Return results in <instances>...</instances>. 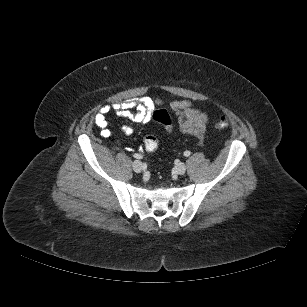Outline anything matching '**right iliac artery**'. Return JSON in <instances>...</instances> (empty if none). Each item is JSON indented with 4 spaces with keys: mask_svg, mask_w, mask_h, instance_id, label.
<instances>
[{
    "mask_svg": "<svg viewBox=\"0 0 307 307\" xmlns=\"http://www.w3.org/2000/svg\"><path fill=\"white\" fill-rule=\"evenodd\" d=\"M134 157L137 158V159H141V158H142V155H140V154H134Z\"/></svg>",
    "mask_w": 307,
    "mask_h": 307,
    "instance_id": "right-iliac-artery-1",
    "label": "right iliac artery"
}]
</instances>
